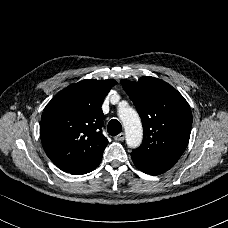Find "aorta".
Segmentation results:
<instances>
[{
  "label": "aorta",
  "instance_id": "aorta-1",
  "mask_svg": "<svg viewBox=\"0 0 228 228\" xmlns=\"http://www.w3.org/2000/svg\"><path fill=\"white\" fill-rule=\"evenodd\" d=\"M118 116L126 132V143L129 148L140 146L143 138V129L138 113L131 107H120Z\"/></svg>",
  "mask_w": 228,
  "mask_h": 228
}]
</instances>
